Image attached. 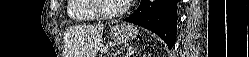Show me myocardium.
Returning <instances> with one entry per match:
<instances>
[{
  "label": "myocardium",
  "instance_id": "obj_1",
  "mask_svg": "<svg viewBox=\"0 0 249 57\" xmlns=\"http://www.w3.org/2000/svg\"><path fill=\"white\" fill-rule=\"evenodd\" d=\"M90 6L96 15L103 20H112L122 16L128 9V3L123 2L120 9L114 13H105L102 11L101 0H90Z\"/></svg>",
  "mask_w": 249,
  "mask_h": 57
}]
</instances>
